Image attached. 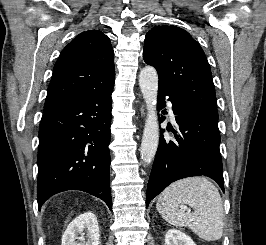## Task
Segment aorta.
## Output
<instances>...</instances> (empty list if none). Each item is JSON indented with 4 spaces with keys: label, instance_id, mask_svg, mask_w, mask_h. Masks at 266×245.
I'll use <instances>...</instances> for the list:
<instances>
[{
    "label": "aorta",
    "instance_id": "762f6f07",
    "mask_svg": "<svg viewBox=\"0 0 266 245\" xmlns=\"http://www.w3.org/2000/svg\"><path fill=\"white\" fill-rule=\"evenodd\" d=\"M138 80L147 108L140 153L142 161L150 165L159 145V125L156 106L158 74L156 68L154 66H144L139 72Z\"/></svg>",
    "mask_w": 266,
    "mask_h": 245
}]
</instances>
